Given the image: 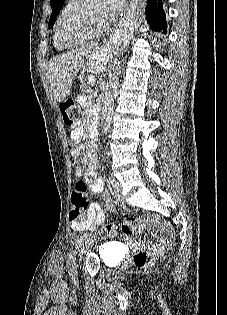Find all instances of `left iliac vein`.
<instances>
[{"label":"left iliac vein","mask_w":227,"mask_h":315,"mask_svg":"<svg viewBox=\"0 0 227 315\" xmlns=\"http://www.w3.org/2000/svg\"><path fill=\"white\" fill-rule=\"evenodd\" d=\"M113 188H114L116 198L119 201L122 200L123 195H122V191H121V185H120L119 181H117L116 179H115V184H114ZM93 242H94V237L93 236L88 237L82 244V250H85Z\"/></svg>","instance_id":"obj_1"}]
</instances>
